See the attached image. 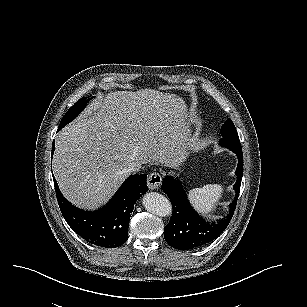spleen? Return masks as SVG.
I'll return each instance as SVG.
<instances>
[{"instance_id":"3e777b00","label":"spleen","mask_w":307,"mask_h":307,"mask_svg":"<svg viewBox=\"0 0 307 307\" xmlns=\"http://www.w3.org/2000/svg\"><path fill=\"white\" fill-rule=\"evenodd\" d=\"M223 187L219 184H208L202 188H195L188 192V198L195 210L210 216L219 199L222 197Z\"/></svg>"}]
</instances>
